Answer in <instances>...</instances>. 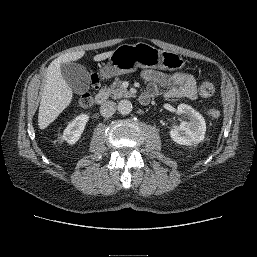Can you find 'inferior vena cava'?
I'll use <instances>...</instances> for the list:
<instances>
[{"label":"inferior vena cava","mask_w":257,"mask_h":257,"mask_svg":"<svg viewBox=\"0 0 257 257\" xmlns=\"http://www.w3.org/2000/svg\"><path fill=\"white\" fill-rule=\"evenodd\" d=\"M116 111V103L113 101H107L100 107V114L103 117H111Z\"/></svg>","instance_id":"1"}]
</instances>
